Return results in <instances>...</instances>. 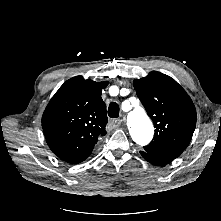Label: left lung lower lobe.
Wrapping results in <instances>:
<instances>
[{
    "label": "left lung lower lobe",
    "instance_id": "obj_1",
    "mask_svg": "<svg viewBox=\"0 0 221 221\" xmlns=\"http://www.w3.org/2000/svg\"><path fill=\"white\" fill-rule=\"evenodd\" d=\"M141 155L144 159L154 165H164L168 164L173 161L175 158L167 157V156H160V155H152L145 151H140Z\"/></svg>",
    "mask_w": 221,
    "mask_h": 221
}]
</instances>
